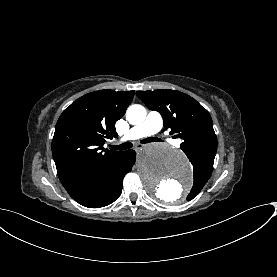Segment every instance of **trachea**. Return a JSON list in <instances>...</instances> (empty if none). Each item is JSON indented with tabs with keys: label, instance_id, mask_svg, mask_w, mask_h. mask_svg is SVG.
Returning a JSON list of instances; mask_svg holds the SVG:
<instances>
[{
	"label": "trachea",
	"instance_id": "3493384b",
	"mask_svg": "<svg viewBox=\"0 0 277 277\" xmlns=\"http://www.w3.org/2000/svg\"><path fill=\"white\" fill-rule=\"evenodd\" d=\"M153 141H160L159 139L157 138H146V139H143L142 140V143H148V142H153ZM133 144L131 142H125L121 145H115V146H112V149H115V150H127V149H130L132 148Z\"/></svg>",
	"mask_w": 277,
	"mask_h": 277
}]
</instances>
